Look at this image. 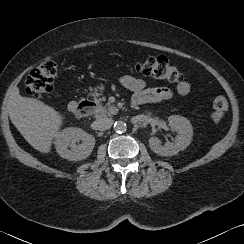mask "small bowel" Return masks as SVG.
Returning <instances> with one entry per match:
<instances>
[{"label": "small bowel", "instance_id": "small-bowel-1", "mask_svg": "<svg viewBox=\"0 0 244 244\" xmlns=\"http://www.w3.org/2000/svg\"><path fill=\"white\" fill-rule=\"evenodd\" d=\"M119 83L134 93L133 105L139 106L146 103L169 100L173 97V90L168 87H148L145 80L130 75L119 78ZM190 91V84L182 81L176 86V92L180 96H186Z\"/></svg>", "mask_w": 244, "mask_h": 244}]
</instances>
